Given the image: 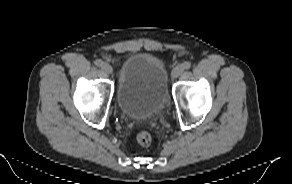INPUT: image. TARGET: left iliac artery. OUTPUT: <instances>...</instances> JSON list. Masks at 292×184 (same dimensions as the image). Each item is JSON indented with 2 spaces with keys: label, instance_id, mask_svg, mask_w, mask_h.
<instances>
[{
  "label": "left iliac artery",
  "instance_id": "44dca946",
  "mask_svg": "<svg viewBox=\"0 0 292 184\" xmlns=\"http://www.w3.org/2000/svg\"><path fill=\"white\" fill-rule=\"evenodd\" d=\"M183 69H189L191 67V63L190 62H184L182 64Z\"/></svg>",
  "mask_w": 292,
  "mask_h": 184
}]
</instances>
